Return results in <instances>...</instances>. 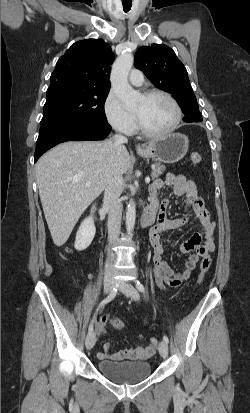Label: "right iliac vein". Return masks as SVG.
I'll use <instances>...</instances> for the list:
<instances>
[{"label": "right iliac vein", "mask_w": 250, "mask_h": 413, "mask_svg": "<svg viewBox=\"0 0 250 413\" xmlns=\"http://www.w3.org/2000/svg\"><path fill=\"white\" fill-rule=\"evenodd\" d=\"M115 282L116 281H115L112 274H108L105 277V279H104V291H105V293H109L114 288ZM95 342H96L95 333L93 331L89 332L87 337H86V341H85L87 349L93 348V346L95 345Z\"/></svg>", "instance_id": "right-iliac-vein-1"}]
</instances>
